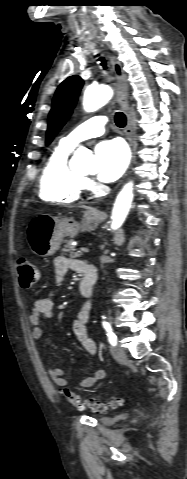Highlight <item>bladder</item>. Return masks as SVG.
Masks as SVG:
<instances>
[{"label": "bladder", "instance_id": "31cf9c89", "mask_svg": "<svg viewBox=\"0 0 187 479\" xmlns=\"http://www.w3.org/2000/svg\"><path fill=\"white\" fill-rule=\"evenodd\" d=\"M99 421L104 424V425H110L115 422V419L112 418H106V417H101L99 418Z\"/></svg>", "mask_w": 187, "mask_h": 479}]
</instances>
